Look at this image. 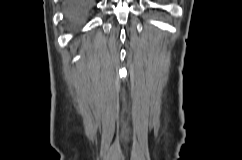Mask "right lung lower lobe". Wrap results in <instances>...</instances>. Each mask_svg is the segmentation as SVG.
Wrapping results in <instances>:
<instances>
[{"label": "right lung lower lobe", "instance_id": "right-lung-lower-lobe-1", "mask_svg": "<svg viewBox=\"0 0 242 160\" xmlns=\"http://www.w3.org/2000/svg\"><path fill=\"white\" fill-rule=\"evenodd\" d=\"M96 0H65L68 19L73 23L83 21L93 9Z\"/></svg>", "mask_w": 242, "mask_h": 160}]
</instances>
